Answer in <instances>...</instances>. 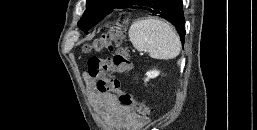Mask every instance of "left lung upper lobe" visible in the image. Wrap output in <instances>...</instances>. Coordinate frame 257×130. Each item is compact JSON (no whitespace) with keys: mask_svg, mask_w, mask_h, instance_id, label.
Listing matches in <instances>:
<instances>
[{"mask_svg":"<svg viewBox=\"0 0 257 130\" xmlns=\"http://www.w3.org/2000/svg\"><path fill=\"white\" fill-rule=\"evenodd\" d=\"M129 0H87L86 10L78 22L85 33L115 8H122Z\"/></svg>","mask_w":257,"mask_h":130,"instance_id":"left-lung-upper-lobe-1","label":"left lung upper lobe"}]
</instances>
